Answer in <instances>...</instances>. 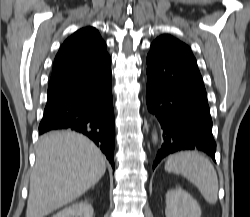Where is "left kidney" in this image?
Listing matches in <instances>:
<instances>
[{
  "label": "left kidney",
  "instance_id": "1",
  "mask_svg": "<svg viewBox=\"0 0 250 217\" xmlns=\"http://www.w3.org/2000/svg\"><path fill=\"white\" fill-rule=\"evenodd\" d=\"M166 217H201L198 202L184 189L176 187L166 194Z\"/></svg>",
  "mask_w": 250,
  "mask_h": 217
}]
</instances>
